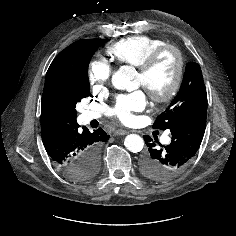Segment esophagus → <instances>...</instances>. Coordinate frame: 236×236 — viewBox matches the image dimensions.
<instances>
[{"label": "esophagus", "mask_w": 236, "mask_h": 236, "mask_svg": "<svg viewBox=\"0 0 236 236\" xmlns=\"http://www.w3.org/2000/svg\"><path fill=\"white\" fill-rule=\"evenodd\" d=\"M128 133V131L124 130V129H117L114 132V135L120 136V135H126Z\"/></svg>", "instance_id": "1"}]
</instances>
